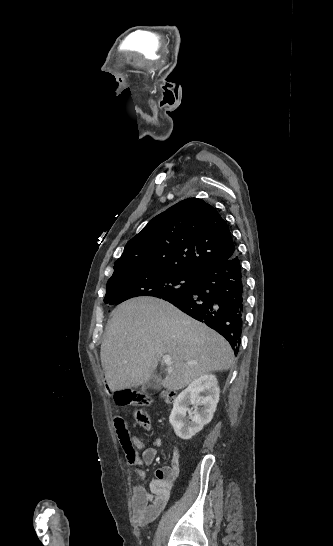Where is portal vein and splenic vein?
<instances>
[{"label":"portal vein and splenic vein","mask_w":333,"mask_h":546,"mask_svg":"<svg viewBox=\"0 0 333 546\" xmlns=\"http://www.w3.org/2000/svg\"><path fill=\"white\" fill-rule=\"evenodd\" d=\"M162 359H163V362H164L166 365H171V363H172V358H171L170 355L165 354V355L163 356ZM188 363L191 364L192 362H188Z\"/></svg>","instance_id":"obj_1"}]
</instances>
